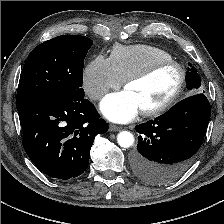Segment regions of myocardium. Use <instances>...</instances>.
Here are the masks:
<instances>
[{
    "mask_svg": "<svg viewBox=\"0 0 224 224\" xmlns=\"http://www.w3.org/2000/svg\"><path fill=\"white\" fill-rule=\"evenodd\" d=\"M167 67H174L175 69H177L179 73L178 83L173 93L169 96V98L166 101H164L163 103H161L160 105L156 107L141 111L142 115L146 117H153V116L160 115L166 112L167 110H169L172 106L176 104V102L179 100L184 90V87L187 81V71L185 67L175 60L157 61L151 64L150 66H148L147 68H145L144 70L129 76L124 81V88L126 89L128 85L146 80L152 75H154L156 72H158L159 70L167 68Z\"/></svg>",
    "mask_w": 224,
    "mask_h": 224,
    "instance_id": "myocardium-1",
    "label": "myocardium"
}]
</instances>
